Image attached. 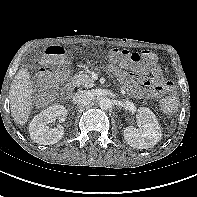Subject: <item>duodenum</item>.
<instances>
[{
  "mask_svg": "<svg viewBox=\"0 0 197 197\" xmlns=\"http://www.w3.org/2000/svg\"><path fill=\"white\" fill-rule=\"evenodd\" d=\"M70 91H71V87L68 88V92H70Z\"/></svg>",
  "mask_w": 197,
  "mask_h": 197,
  "instance_id": "duodenum-1",
  "label": "duodenum"
}]
</instances>
